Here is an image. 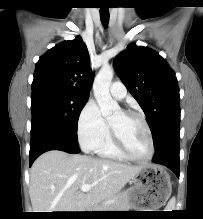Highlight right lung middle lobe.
I'll return each instance as SVG.
<instances>
[{
    "label": "right lung middle lobe",
    "instance_id": "1",
    "mask_svg": "<svg viewBox=\"0 0 203 219\" xmlns=\"http://www.w3.org/2000/svg\"><path fill=\"white\" fill-rule=\"evenodd\" d=\"M88 97L56 86H32L31 135L49 132L77 145V123Z\"/></svg>",
    "mask_w": 203,
    "mask_h": 219
}]
</instances>
